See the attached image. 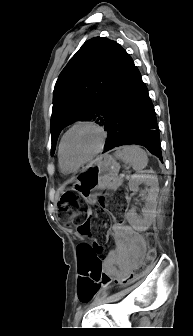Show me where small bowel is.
I'll use <instances>...</instances> for the list:
<instances>
[{
    "instance_id": "1",
    "label": "small bowel",
    "mask_w": 193,
    "mask_h": 336,
    "mask_svg": "<svg viewBox=\"0 0 193 336\" xmlns=\"http://www.w3.org/2000/svg\"><path fill=\"white\" fill-rule=\"evenodd\" d=\"M112 235L115 247L104 258L103 266L109 277L118 279L122 273H129L141 265L145 246L142 237L126 225L116 224ZM79 274L80 290L91 292L97 289L89 281L87 272H81L79 268Z\"/></svg>"
}]
</instances>
